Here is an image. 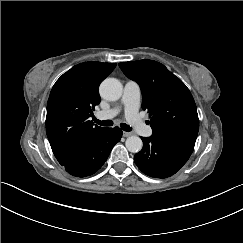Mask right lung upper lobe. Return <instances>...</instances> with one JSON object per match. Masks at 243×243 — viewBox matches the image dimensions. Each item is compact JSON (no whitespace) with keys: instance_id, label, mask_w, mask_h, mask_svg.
<instances>
[{"instance_id":"1","label":"right lung upper lobe","mask_w":243,"mask_h":243,"mask_svg":"<svg viewBox=\"0 0 243 243\" xmlns=\"http://www.w3.org/2000/svg\"><path fill=\"white\" fill-rule=\"evenodd\" d=\"M115 67V63H80L54 84L47 103L46 133L62 166L105 129L88 118L100 103L99 84Z\"/></svg>"}]
</instances>
